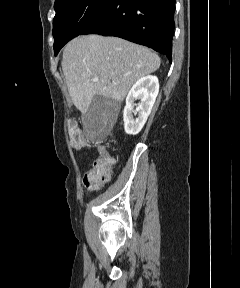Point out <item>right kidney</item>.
I'll list each match as a JSON object with an SVG mask.
<instances>
[{
    "mask_svg": "<svg viewBox=\"0 0 240 288\" xmlns=\"http://www.w3.org/2000/svg\"><path fill=\"white\" fill-rule=\"evenodd\" d=\"M159 92V81L156 76L140 78L131 88L126 97V106L123 111L124 129L129 135L138 134L143 128ZM140 99L141 103L134 110V102ZM133 113L138 117L134 119Z\"/></svg>",
    "mask_w": 240,
    "mask_h": 288,
    "instance_id": "ca27d5eb",
    "label": "right kidney"
}]
</instances>
